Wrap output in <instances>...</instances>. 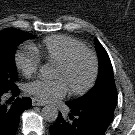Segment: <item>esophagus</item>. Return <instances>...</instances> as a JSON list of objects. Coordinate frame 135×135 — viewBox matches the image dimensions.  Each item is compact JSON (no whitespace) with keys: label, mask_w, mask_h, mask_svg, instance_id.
Returning a JSON list of instances; mask_svg holds the SVG:
<instances>
[{"label":"esophagus","mask_w":135,"mask_h":135,"mask_svg":"<svg viewBox=\"0 0 135 135\" xmlns=\"http://www.w3.org/2000/svg\"><path fill=\"white\" fill-rule=\"evenodd\" d=\"M32 105H33V106H44L45 103L42 102V101H40V100H38V99H36V98H33V99H32Z\"/></svg>","instance_id":"1"}]
</instances>
